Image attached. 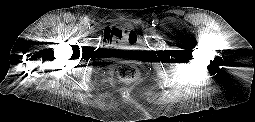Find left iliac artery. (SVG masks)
<instances>
[{
    "label": "left iliac artery",
    "instance_id": "1",
    "mask_svg": "<svg viewBox=\"0 0 255 122\" xmlns=\"http://www.w3.org/2000/svg\"><path fill=\"white\" fill-rule=\"evenodd\" d=\"M156 24H158V21H157V20L152 21V26H156Z\"/></svg>",
    "mask_w": 255,
    "mask_h": 122
}]
</instances>
